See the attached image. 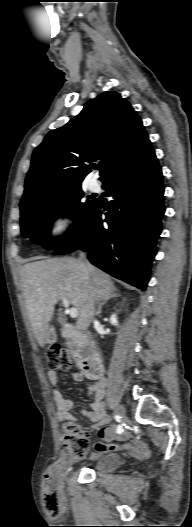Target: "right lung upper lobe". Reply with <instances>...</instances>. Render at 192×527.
Here are the masks:
<instances>
[{"label": "right lung upper lobe", "instance_id": "right-lung-upper-lobe-1", "mask_svg": "<svg viewBox=\"0 0 192 527\" xmlns=\"http://www.w3.org/2000/svg\"><path fill=\"white\" fill-rule=\"evenodd\" d=\"M148 140L140 117L119 93L100 94L66 125L49 132L34 150L20 206L81 187L96 162L103 181Z\"/></svg>", "mask_w": 192, "mask_h": 527}]
</instances>
